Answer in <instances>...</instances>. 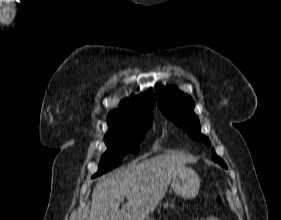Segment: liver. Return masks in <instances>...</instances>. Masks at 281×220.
Listing matches in <instances>:
<instances>
[{
  "mask_svg": "<svg viewBox=\"0 0 281 220\" xmlns=\"http://www.w3.org/2000/svg\"><path fill=\"white\" fill-rule=\"evenodd\" d=\"M192 159L171 152L132 163L98 179L88 220H144L163 199L173 176ZM127 202L119 209L120 202Z\"/></svg>",
  "mask_w": 281,
  "mask_h": 220,
  "instance_id": "liver-1",
  "label": "liver"
}]
</instances>
